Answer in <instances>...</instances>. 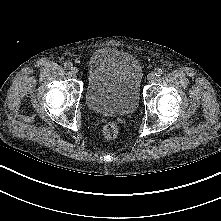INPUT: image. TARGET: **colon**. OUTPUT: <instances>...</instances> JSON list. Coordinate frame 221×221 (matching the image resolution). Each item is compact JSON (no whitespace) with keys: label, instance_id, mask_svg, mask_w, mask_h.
Wrapping results in <instances>:
<instances>
[{"label":"colon","instance_id":"colon-1","mask_svg":"<svg viewBox=\"0 0 221 221\" xmlns=\"http://www.w3.org/2000/svg\"><path fill=\"white\" fill-rule=\"evenodd\" d=\"M102 133L106 139H114L118 136L119 128L117 124L109 122L104 125Z\"/></svg>","mask_w":221,"mask_h":221}]
</instances>
